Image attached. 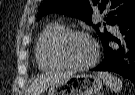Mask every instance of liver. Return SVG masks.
Instances as JSON below:
<instances>
[{
  "label": "liver",
  "instance_id": "6515ba94",
  "mask_svg": "<svg viewBox=\"0 0 135 95\" xmlns=\"http://www.w3.org/2000/svg\"><path fill=\"white\" fill-rule=\"evenodd\" d=\"M70 72H46L36 78L27 91V95H40L48 87L53 86L71 76Z\"/></svg>",
  "mask_w": 135,
  "mask_h": 95
}]
</instances>
